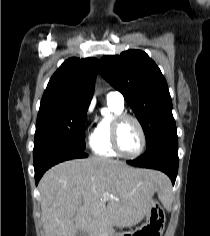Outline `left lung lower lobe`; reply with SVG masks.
Wrapping results in <instances>:
<instances>
[{
	"label": "left lung lower lobe",
	"mask_w": 210,
	"mask_h": 236,
	"mask_svg": "<svg viewBox=\"0 0 210 236\" xmlns=\"http://www.w3.org/2000/svg\"><path fill=\"white\" fill-rule=\"evenodd\" d=\"M178 161V137L176 132H171L158 138L142 156L128 163L137 167L163 171L174 185Z\"/></svg>",
	"instance_id": "0a47b994"
}]
</instances>
